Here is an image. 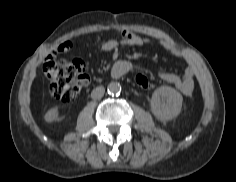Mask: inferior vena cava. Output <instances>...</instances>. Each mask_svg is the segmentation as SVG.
Wrapping results in <instances>:
<instances>
[{
  "label": "inferior vena cava",
  "instance_id": "obj_1",
  "mask_svg": "<svg viewBox=\"0 0 236 182\" xmlns=\"http://www.w3.org/2000/svg\"><path fill=\"white\" fill-rule=\"evenodd\" d=\"M105 93V88L100 86V87H96L95 89H93V91L91 92V97L93 99H100L103 97Z\"/></svg>",
  "mask_w": 236,
  "mask_h": 182
}]
</instances>
